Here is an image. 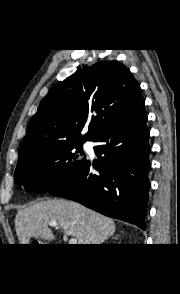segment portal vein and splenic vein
Masks as SVG:
<instances>
[{"instance_id": "1", "label": "portal vein and splenic vein", "mask_w": 180, "mask_h": 294, "mask_svg": "<svg viewBox=\"0 0 180 294\" xmlns=\"http://www.w3.org/2000/svg\"><path fill=\"white\" fill-rule=\"evenodd\" d=\"M49 226L57 228L58 224L56 222H50ZM63 239H64V241H68V244H71V245H76L77 244V239L76 238H71V239L68 240L67 235H64Z\"/></svg>"}]
</instances>
